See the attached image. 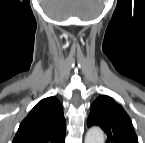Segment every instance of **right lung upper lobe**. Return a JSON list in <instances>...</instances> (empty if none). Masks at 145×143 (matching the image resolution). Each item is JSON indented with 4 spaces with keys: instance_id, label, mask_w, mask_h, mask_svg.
Segmentation results:
<instances>
[{
    "instance_id": "obj_1",
    "label": "right lung upper lobe",
    "mask_w": 145,
    "mask_h": 143,
    "mask_svg": "<svg viewBox=\"0 0 145 143\" xmlns=\"http://www.w3.org/2000/svg\"><path fill=\"white\" fill-rule=\"evenodd\" d=\"M66 122L59 100H41L21 122L13 143H64Z\"/></svg>"
}]
</instances>
